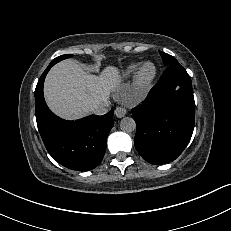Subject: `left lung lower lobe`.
<instances>
[{
	"instance_id": "1",
	"label": "left lung lower lobe",
	"mask_w": 231,
	"mask_h": 231,
	"mask_svg": "<svg viewBox=\"0 0 231 231\" xmlns=\"http://www.w3.org/2000/svg\"><path fill=\"white\" fill-rule=\"evenodd\" d=\"M131 112L137 125L134 144L138 153L155 165L175 160L187 146L195 122L192 84L186 70L179 63L167 66L143 103Z\"/></svg>"
}]
</instances>
